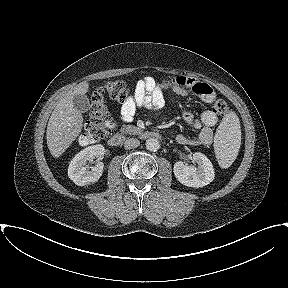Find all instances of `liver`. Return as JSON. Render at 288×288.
I'll return each instance as SVG.
<instances>
[{
    "instance_id": "liver-1",
    "label": "liver",
    "mask_w": 288,
    "mask_h": 288,
    "mask_svg": "<svg viewBox=\"0 0 288 288\" xmlns=\"http://www.w3.org/2000/svg\"><path fill=\"white\" fill-rule=\"evenodd\" d=\"M89 84L79 83L61 98L53 110L47 124L46 139L51 155L60 157L82 131L83 116L74 107L73 97L87 93Z\"/></svg>"
}]
</instances>
